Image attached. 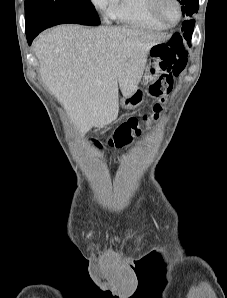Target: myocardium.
Returning <instances> with one entry per match:
<instances>
[{"mask_svg": "<svg viewBox=\"0 0 227 298\" xmlns=\"http://www.w3.org/2000/svg\"><path fill=\"white\" fill-rule=\"evenodd\" d=\"M150 11L152 13V15L161 23H163L166 26H174L176 24H178L182 18L183 15V10H182V5L181 2L179 0H173V2L176 4L177 6V10H178V16L177 19L173 22L168 21L161 13V3L163 0H150Z\"/></svg>", "mask_w": 227, "mask_h": 298, "instance_id": "obj_1", "label": "myocardium"}]
</instances>
